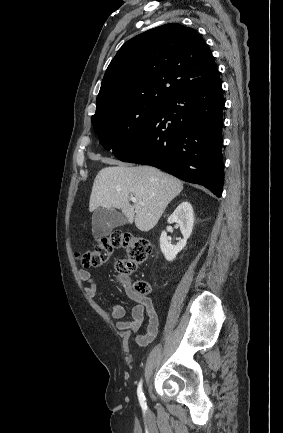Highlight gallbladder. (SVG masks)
<instances>
[{
  "instance_id": "obj_1",
  "label": "gallbladder",
  "mask_w": 283,
  "mask_h": 433,
  "mask_svg": "<svg viewBox=\"0 0 283 433\" xmlns=\"http://www.w3.org/2000/svg\"><path fill=\"white\" fill-rule=\"evenodd\" d=\"M127 219L115 208H96L92 214L93 237H107L115 227L126 225Z\"/></svg>"
}]
</instances>
